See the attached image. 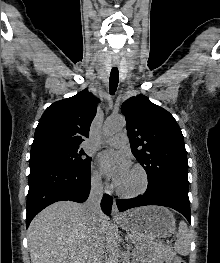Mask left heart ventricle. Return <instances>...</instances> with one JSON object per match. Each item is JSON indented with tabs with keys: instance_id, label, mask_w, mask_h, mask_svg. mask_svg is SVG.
Segmentation results:
<instances>
[{
	"instance_id": "b2bd125f",
	"label": "left heart ventricle",
	"mask_w": 220,
	"mask_h": 263,
	"mask_svg": "<svg viewBox=\"0 0 220 263\" xmlns=\"http://www.w3.org/2000/svg\"><path fill=\"white\" fill-rule=\"evenodd\" d=\"M142 184V178L138 171L131 168L127 175L117 185L120 189L125 191H134L140 188Z\"/></svg>"
}]
</instances>
